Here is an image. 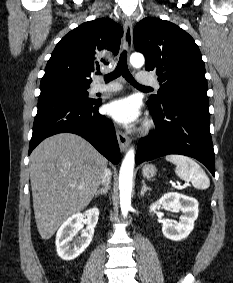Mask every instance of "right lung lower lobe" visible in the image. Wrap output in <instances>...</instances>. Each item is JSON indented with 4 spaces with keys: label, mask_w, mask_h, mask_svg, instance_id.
Listing matches in <instances>:
<instances>
[{
    "label": "right lung lower lobe",
    "mask_w": 233,
    "mask_h": 283,
    "mask_svg": "<svg viewBox=\"0 0 233 283\" xmlns=\"http://www.w3.org/2000/svg\"><path fill=\"white\" fill-rule=\"evenodd\" d=\"M100 104V100L66 94L40 95L29 154L45 138L70 132L82 136L107 159L118 164L120 150L114 125L98 113Z\"/></svg>",
    "instance_id": "98d812e1"
}]
</instances>
